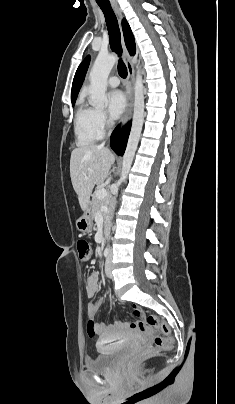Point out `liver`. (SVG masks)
Segmentation results:
<instances>
[{
  "label": "liver",
  "instance_id": "liver-1",
  "mask_svg": "<svg viewBox=\"0 0 235 404\" xmlns=\"http://www.w3.org/2000/svg\"><path fill=\"white\" fill-rule=\"evenodd\" d=\"M113 161V154L103 145L78 147L71 152V182L83 211L89 207L94 186L107 178Z\"/></svg>",
  "mask_w": 235,
  "mask_h": 404
}]
</instances>
